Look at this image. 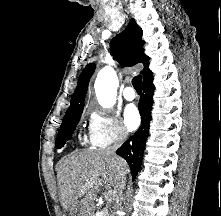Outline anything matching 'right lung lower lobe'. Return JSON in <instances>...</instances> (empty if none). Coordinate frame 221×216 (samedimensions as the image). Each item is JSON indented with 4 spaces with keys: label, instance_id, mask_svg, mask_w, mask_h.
<instances>
[{
    "label": "right lung lower lobe",
    "instance_id": "right-lung-lower-lobe-1",
    "mask_svg": "<svg viewBox=\"0 0 221 216\" xmlns=\"http://www.w3.org/2000/svg\"><path fill=\"white\" fill-rule=\"evenodd\" d=\"M153 77L150 76L143 81L144 94L140 98L139 112L141 114V126L136 133L131 136L117 151L116 154L123 157L130 166L132 178L134 179L138 173L142 156L145 149L147 137L149 135V123L151 120V106L153 104Z\"/></svg>",
    "mask_w": 221,
    "mask_h": 216
}]
</instances>
